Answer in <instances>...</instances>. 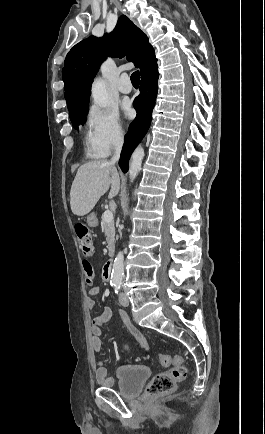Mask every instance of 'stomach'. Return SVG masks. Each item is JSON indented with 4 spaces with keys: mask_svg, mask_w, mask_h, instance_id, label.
Segmentation results:
<instances>
[{
    "mask_svg": "<svg viewBox=\"0 0 265 434\" xmlns=\"http://www.w3.org/2000/svg\"><path fill=\"white\" fill-rule=\"evenodd\" d=\"M91 222H96L95 214H90V216H88V224H91Z\"/></svg>",
    "mask_w": 265,
    "mask_h": 434,
    "instance_id": "obj_1",
    "label": "stomach"
}]
</instances>
